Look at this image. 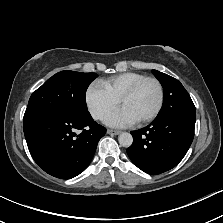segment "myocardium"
<instances>
[{
    "label": "myocardium",
    "mask_w": 223,
    "mask_h": 223,
    "mask_svg": "<svg viewBox=\"0 0 223 223\" xmlns=\"http://www.w3.org/2000/svg\"><path fill=\"white\" fill-rule=\"evenodd\" d=\"M146 82H153L156 85L157 92H158L157 104H156L154 110L148 116H146L140 120H137V122H140V123L149 122V121H152L153 119H155L162 108L164 93H163V87H162L160 81L155 77H145V78L139 80L138 82H136L131 88H129L119 98V104L121 105V103L125 99L133 96L140 89V87L143 84H145Z\"/></svg>",
    "instance_id": "myocardium-1"
}]
</instances>
